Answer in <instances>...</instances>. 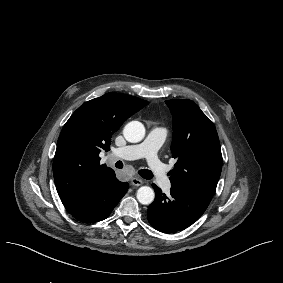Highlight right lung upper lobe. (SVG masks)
<instances>
[{
    "label": "right lung upper lobe",
    "instance_id": "right-lung-upper-lobe-1",
    "mask_svg": "<svg viewBox=\"0 0 283 283\" xmlns=\"http://www.w3.org/2000/svg\"><path fill=\"white\" fill-rule=\"evenodd\" d=\"M147 103L107 93L72 114L60 133L53 160L54 181L63 204L83 198L106 181L114 170L100 164L99 153L110 149L112 135Z\"/></svg>",
    "mask_w": 283,
    "mask_h": 283
}]
</instances>
